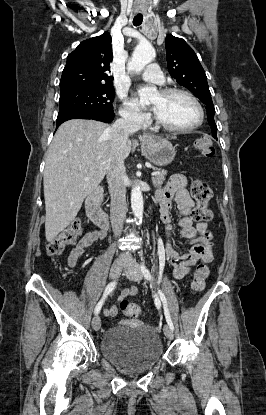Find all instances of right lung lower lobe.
Returning a JSON list of instances; mask_svg holds the SVG:
<instances>
[{
    "label": "right lung lower lobe",
    "instance_id": "1",
    "mask_svg": "<svg viewBox=\"0 0 266 415\" xmlns=\"http://www.w3.org/2000/svg\"><path fill=\"white\" fill-rule=\"evenodd\" d=\"M113 113H105L99 111H88V110H62L59 111L57 117V126L56 129L65 121L75 118L80 119H92L102 122L109 123L114 119Z\"/></svg>",
    "mask_w": 266,
    "mask_h": 415
}]
</instances>
